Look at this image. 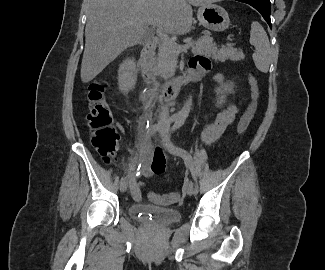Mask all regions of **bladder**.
Here are the masks:
<instances>
[{
	"label": "bladder",
	"mask_w": 325,
	"mask_h": 270,
	"mask_svg": "<svg viewBox=\"0 0 325 270\" xmlns=\"http://www.w3.org/2000/svg\"><path fill=\"white\" fill-rule=\"evenodd\" d=\"M128 213L133 219L151 221L160 226L169 225L181 219L180 211L175 208L159 207L146 203L130 204Z\"/></svg>",
	"instance_id": "31cf9c89"
}]
</instances>
